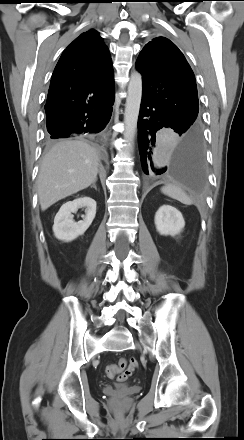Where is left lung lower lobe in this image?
<instances>
[{"label": "left lung lower lobe", "mask_w": 244, "mask_h": 440, "mask_svg": "<svg viewBox=\"0 0 244 440\" xmlns=\"http://www.w3.org/2000/svg\"><path fill=\"white\" fill-rule=\"evenodd\" d=\"M183 135L179 145L170 150L161 131ZM138 145L146 175L175 174L191 191H200L205 177V161L201 132H189L152 100L142 97L138 118Z\"/></svg>", "instance_id": "1"}]
</instances>
